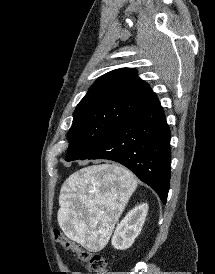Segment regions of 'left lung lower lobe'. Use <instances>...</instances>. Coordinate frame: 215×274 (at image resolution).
<instances>
[{"mask_svg":"<svg viewBox=\"0 0 215 274\" xmlns=\"http://www.w3.org/2000/svg\"><path fill=\"white\" fill-rule=\"evenodd\" d=\"M170 130L158 99L115 127L81 159L118 162L166 204L170 183Z\"/></svg>","mask_w":215,"mask_h":274,"instance_id":"0a47b994","label":"left lung lower lobe"}]
</instances>
